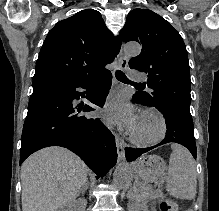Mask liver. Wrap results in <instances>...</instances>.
Instances as JSON below:
<instances>
[{
    "mask_svg": "<svg viewBox=\"0 0 219 211\" xmlns=\"http://www.w3.org/2000/svg\"><path fill=\"white\" fill-rule=\"evenodd\" d=\"M88 167L66 147H44L21 165L22 211H59L85 187Z\"/></svg>",
    "mask_w": 219,
    "mask_h": 211,
    "instance_id": "1",
    "label": "liver"
}]
</instances>
